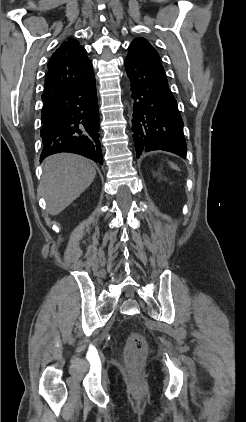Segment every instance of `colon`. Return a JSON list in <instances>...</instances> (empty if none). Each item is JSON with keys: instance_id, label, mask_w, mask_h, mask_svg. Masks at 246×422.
I'll return each instance as SVG.
<instances>
[{"instance_id": "5ec220e1", "label": "colon", "mask_w": 246, "mask_h": 422, "mask_svg": "<svg viewBox=\"0 0 246 422\" xmlns=\"http://www.w3.org/2000/svg\"><path fill=\"white\" fill-rule=\"evenodd\" d=\"M147 350V344L144 337L139 333H132L127 341L125 356L127 362L131 366L139 365L145 355Z\"/></svg>"}]
</instances>
